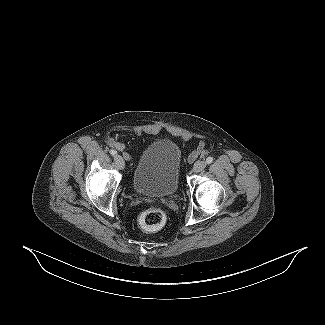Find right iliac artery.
I'll list each match as a JSON object with an SVG mask.
<instances>
[{
	"instance_id": "1",
	"label": "right iliac artery",
	"mask_w": 325,
	"mask_h": 325,
	"mask_svg": "<svg viewBox=\"0 0 325 325\" xmlns=\"http://www.w3.org/2000/svg\"><path fill=\"white\" fill-rule=\"evenodd\" d=\"M110 154L113 155V156H115L117 154V152L112 149V150H110Z\"/></svg>"
}]
</instances>
